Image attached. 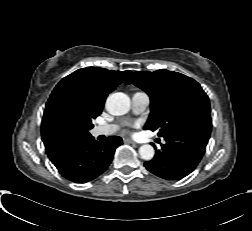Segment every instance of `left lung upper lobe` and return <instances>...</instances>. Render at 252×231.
Masks as SVG:
<instances>
[{
	"label": "left lung upper lobe",
	"mask_w": 252,
	"mask_h": 231,
	"mask_svg": "<svg viewBox=\"0 0 252 231\" xmlns=\"http://www.w3.org/2000/svg\"><path fill=\"white\" fill-rule=\"evenodd\" d=\"M126 84H134L150 96L151 113L145 130H159L160 137L187 128L211 132L209 98L192 78L161 69L134 72Z\"/></svg>",
	"instance_id": "5c2ea615"
}]
</instances>
